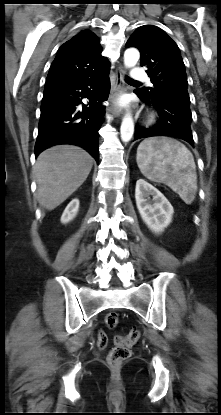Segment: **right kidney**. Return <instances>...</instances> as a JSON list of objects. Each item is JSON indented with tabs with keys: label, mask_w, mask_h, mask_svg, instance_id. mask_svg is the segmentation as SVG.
<instances>
[{
	"label": "right kidney",
	"mask_w": 221,
	"mask_h": 415,
	"mask_svg": "<svg viewBox=\"0 0 221 415\" xmlns=\"http://www.w3.org/2000/svg\"><path fill=\"white\" fill-rule=\"evenodd\" d=\"M79 209V200L73 199L65 208L62 216H61V222L66 224L73 220L78 212Z\"/></svg>",
	"instance_id": "ca27d5eb"
}]
</instances>
